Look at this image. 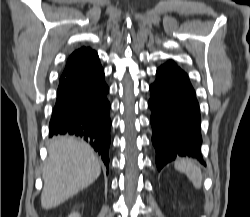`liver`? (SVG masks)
I'll return each mask as SVG.
<instances>
[{
	"mask_svg": "<svg viewBox=\"0 0 250 217\" xmlns=\"http://www.w3.org/2000/svg\"><path fill=\"white\" fill-rule=\"evenodd\" d=\"M100 172V163L90 145L73 137H54L48 144L43 168L42 208L62 204L92 184Z\"/></svg>",
	"mask_w": 250,
	"mask_h": 217,
	"instance_id": "6515ba94",
	"label": "liver"
}]
</instances>
